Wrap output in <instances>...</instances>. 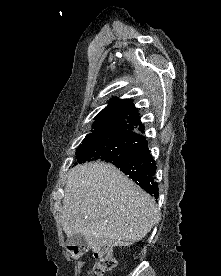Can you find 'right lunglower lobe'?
<instances>
[{
    "label": "right lung lower lobe",
    "instance_id": "98d812e1",
    "mask_svg": "<svg viewBox=\"0 0 221 276\" xmlns=\"http://www.w3.org/2000/svg\"><path fill=\"white\" fill-rule=\"evenodd\" d=\"M111 163L149 194L158 197L159 189L155 181L157 167L147 147L146 139L144 145L133 151L130 155L125 158L116 159Z\"/></svg>",
    "mask_w": 221,
    "mask_h": 276
}]
</instances>
